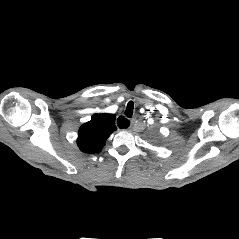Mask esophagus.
Returning <instances> with one entry per match:
<instances>
[{
  "mask_svg": "<svg viewBox=\"0 0 239 239\" xmlns=\"http://www.w3.org/2000/svg\"><path fill=\"white\" fill-rule=\"evenodd\" d=\"M117 125L120 129L127 128L130 125V121L123 116L118 117Z\"/></svg>",
  "mask_w": 239,
  "mask_h": 239,
  "instance_id": "34e87169",
  "label": "esophagus"
}]
</instances>
